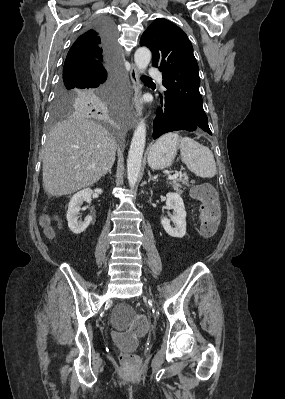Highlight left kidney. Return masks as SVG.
Listing matches in <instances>:
<instances>
[{
    "mask_svg": "<svg viewBox=\"0 0 285 399\" xmlns=\"http://www.w3.org/2000/svg\"><path fill=\"white\" fill-rule=\"evenodd\" d=\"M166 207L173 210V215H169L175 227H171L170 219L162 218L161 223L166 233L175 238H182L186 234V211L183 199L178 193H168L166 195Z\"/></svg>",
    "mask_w": 285,
    "mask_h": 399,
    "instance_id": "5707ae66",
    "label": "left kidney"
}]
</instances>
